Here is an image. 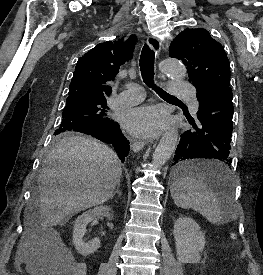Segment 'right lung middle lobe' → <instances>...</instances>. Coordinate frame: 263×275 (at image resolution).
Here are the masks:
<instances>
[{
    "label": "right lung middle lobe",
    "instance_id": "1",
    "mask_svg": "<svg viewBox=\"0 0 263 275\" xmlns=\"http://www.w3.org/2000/svg\"><path fill=\"white\" fill-rule=\"evenodd\" d=\"M106 97L95 95H76L67 98L63 109V119L59 128L54 132V141H60L64 134L76 128L105 126L110 120L107 117Z\"/></svg>",
    "mask_w": 263,
    "mask_h": 275
}]
</instances>
